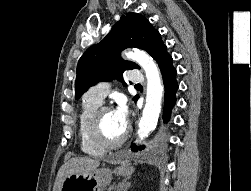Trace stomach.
Instances as JSON below:
<instances>
[{"label": "stomach", "mask_w": 251, "mask_h": 191, "mask_svg": "<svg viewBox=\"0 0 251 191\" xmlns=\"http://www.w3.org/2000/svg\"><path fill=\"white\" fill-rule=\"evenodd\" d=\"M105 161H108V163L116 161L119 165H116L113 169L111 167H99V169H94L86 175H76V173L66 175L60 191H103L104 187L110 183L113 173L129 177L134 171V167L125 155H114V157L105 159Z\"/></svg>", "instance_id": "stomach-1"}]
</instances>
